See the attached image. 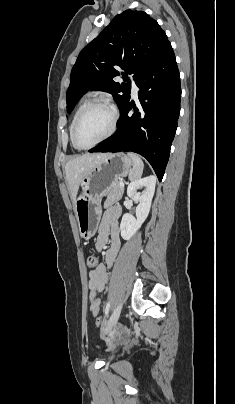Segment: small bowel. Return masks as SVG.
Here are the masks:
<instances>
[{"mask_svg":"<svg viewBox=\"0 0 235 404\" xmlns=\"http://www.w3.org/2000/svg\"><path fill=\"white\" fill-rule=\"evenodd\" d=\"M120 215V207L112 206L108 208L98 229L95 249L98 252H103L104 262L89 272L88 282L90 311L94 316H97L101 310L99 295L105 290L109 280L107 268L112 266L120 250L118 226Z\"/></svg>","mask_w":235,"mask_h":404,"instance_id":"obj_1","label":"small bowel"}]
</instances>
